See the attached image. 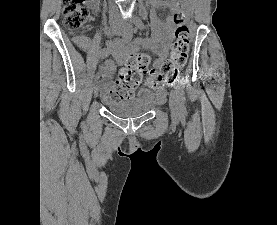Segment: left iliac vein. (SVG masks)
Instances as JSON below:
<instances>
[{
  "label": "left iliac vein",
  "mask_w": 277,
  "mask_h": 225,
  "mask_svg": "<svg viewBox=\"0 0 277 225\" xmlns=\"http://www.w3.org/2000/svg\"><path fill=\"white\" fill-rule=\"evenodd\" d=\"M131 29L130 25L126 26V32ZM169 106L171 113L174 117H178L181 111V106H180V100L178 93L175 90L170 91L169 95Z\"/></svg>",
  "instance_id": "1"
}]
</instances>
